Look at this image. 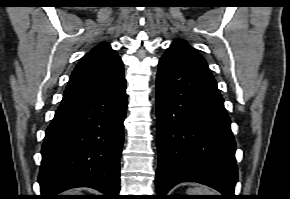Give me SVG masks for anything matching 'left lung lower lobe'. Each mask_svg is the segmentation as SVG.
Wrapping results in <instances>:
<instances>
[{
  "mask_svg": "<svg viewBox=\"0 0 290 199\" xmlns=\"http://www.w3.org/2000/svg\"><path fill=\"white\" fill-rule=\"evenodd\" d=\"M156 110L158 196L166 199L176 184L193 181L234 199L236 144L210 70L167 50L158 64Z\"/></svg>",
  "mask_w": 290,
  "mask_h": 199,
  "instance_id": "0a47b994",
  "label": "left lung lower lobe"
}]
</instances>
